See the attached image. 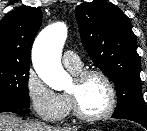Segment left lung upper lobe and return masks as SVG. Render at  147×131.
Listing matches in <instances>:
<instances>
[{"label": "left lung upper lobe", "instance_id": "left-lung-upper-lobe-1", "mask_svg": "<svg viewBox=\"0 0 147 131\" xmlns=\"http://www.w3.org/2000/svg\"><path fill=\"white\" fill-rule=\"evenodd\" d=\"M75 16L84 48L93 63L115 84L118 103L113 116L147 117L139 74L140 57L128 17L103 0L82 3L76 7Z\"/></svg>", "mask_w": 147, "mask_h": 131}]
</instances>
